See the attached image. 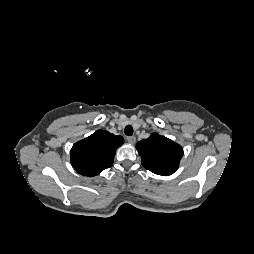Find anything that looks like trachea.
Returning a JSON list of instances; mask_svg holds the SVG:
<instances>
[{
	"mask_svg": "<svg viewBox=\"0 0 254 254\" xmlns=\"http://www.w3.org/2000/svg\"><path fill=\"white\" fill-rule=\"evenodd\" d=\"M124 132L127 136H131L133 134V127L131 125H127Z\"/></svg>",
	"mask_w": 254,
	"mask_h": 254,
	"instance_id": "trachea-1",
	"label": "trachea"
}]
</instances>
